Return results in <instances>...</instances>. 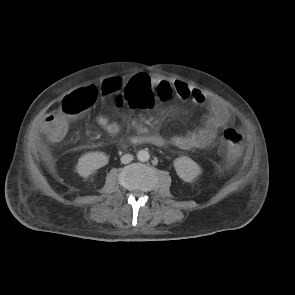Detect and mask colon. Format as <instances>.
<instances>
[{"label": "colon", "instance_id": "1", "mask_svg": "<svg viewBox=\"0 0 295 295\" xmlns=\"http://www.w3.org/2000/svg\"><path fill=\"white\" fill-rule=\"evenodd\" d=\"M100 90L102 93L116 96L118 102L125 94V101L128 106H131V110H153L156 102H167V99L172 96V91L168 86L154 93L153 87H127L117 79L105 82ZM97 96L98 89L95 86H88L64 97L55 112L53 123L47 129V135L53 141L63 139L68 131L70 119L90 108ZM222 136L226 154L231 158L236 157L243 144V135L237 129L227 128L223 131Z\"/></svg>", "mask_w": 295, "mask_h": 295}]
</instances>
